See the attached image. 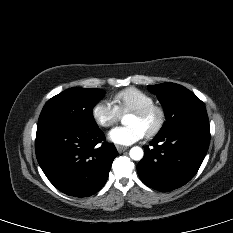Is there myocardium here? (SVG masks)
<instances>
[{"instance_id":"obj_1","label":"myocardium","mask_w":233,"mask_h":233,"mask_svg":"<svg viewBox=\"0 0 233 233\" xmlns=\"http://www.w3.org/2000/svg\"><path fill=\"white\" fill-rule=\"evenodd\" d=\"M151 113L157 114V122L155 126L146 133V136L149 138L156 136L163 129L166 122L165 109L159 104L152 103L131 111V114H134L138 117H145Z\"/></svg>"}]
</instances>
